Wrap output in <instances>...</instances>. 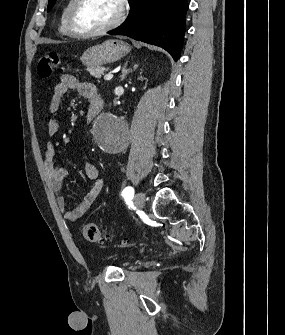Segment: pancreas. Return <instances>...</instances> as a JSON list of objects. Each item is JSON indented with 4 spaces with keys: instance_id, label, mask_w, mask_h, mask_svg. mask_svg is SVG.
Wrapping results in <instances>:
<instances>
[{
    "instance_id": "obj_1",
    "label": "pancreas",
    "mask_w": 285,
    "mask_h": 335,
    "mask_svg": "<svg viewBox=\"0 0 285 335\" xmlns=\"http://www.w3.org/2000/svg\"><path fill=\"white\" fill-rule=\"evenodd\" d=\"M107 70L108 68H94V66L88 68V72H90L91 76H95V78H101V74L107 72Z\"/></svg>"
}]
</instances>
